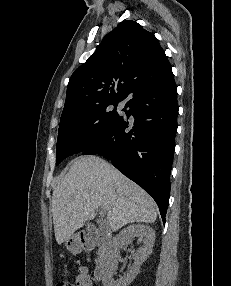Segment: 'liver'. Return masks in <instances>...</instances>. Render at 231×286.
Masks as SVG:
<instances>
[{"label":"liver","instance_id":"1","mask_svg":"<svg viewBox=\"0 0 231 286\" xmlns=\"http://www.w3.org/2000/svg\"><path fill=\"white\" fill-rule=\"evenodd\" d=\"M104 208L112 231L134 222L153 223L157 205L136 183L97 156H80L54 188L52 215L59 245L74 235L95 211Z\"/></svg>","mask_w":231,"mask_h":286}]
</instances>
